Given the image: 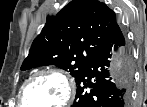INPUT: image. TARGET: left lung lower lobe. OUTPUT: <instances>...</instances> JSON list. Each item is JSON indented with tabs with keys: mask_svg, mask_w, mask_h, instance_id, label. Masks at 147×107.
<instances>
[{
	"mask_svg": "<svg viewBox=\"0 0 147 107\" xmlns=\"http://www.w3.org/2000/svg\"><path fill=\"white\" fill-rule=\"evenodd\" d=\"M125 44L123 33L116 24L76 80V97L71 107H128L131 74L119 84L114 83L108 74L112 48L121 47L126 52Z\"/></svg>",
	"mask_w": 147,
	"mask_h": 107,
	"instance_id": "left-lung-lower-lobe-1",
	"label": "left lung lower lobe"
}]
</instances>
